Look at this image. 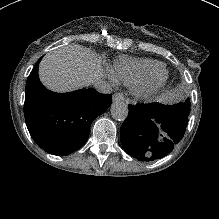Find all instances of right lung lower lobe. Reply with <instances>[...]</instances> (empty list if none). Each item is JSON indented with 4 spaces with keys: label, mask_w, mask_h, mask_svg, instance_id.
<instances>
[{
    "label": "right lung lower lobe",
    "mask_w": 219,
    "mask_h": 219,
    "mask_svg": "<svg viewBox=\"0 0 219 219\" xmlns=\"http://www.w3.org/2000/svg\"><path fill=\"white\" fill-rule=\"evenodd\" d=\"M38 65L34 66L26 83L24 114L27 128L42 149L66 155L84 145L92 121L107 110L112 98L95 89L63 94L51 92L39 81Z\"/></svg>",
    "instance_id": "98d812e1"
}]
</instances>
